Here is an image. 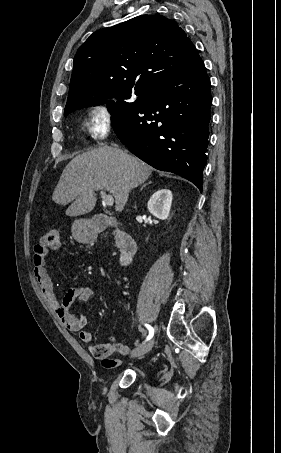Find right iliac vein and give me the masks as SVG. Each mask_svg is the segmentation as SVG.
<instances>
[{
	"instance_id": "obj_1",
	"label": "right iliac vein",
	"mask_w": 281,
	"mask_h": 453,
	"mask_svg": "<svg viewBox=\"0 0 281 453\" xmlns=\"http://www.w3.org/2000/svg\"><path fill=\"white\" fill-rule=\"evenodd\" d=\"M154 345L155 344H154L153 340L152 341H146L141 348H135L134 352L131 351V354H129V355L131 357L134 355L136 358H138V357H140V355H145V352H149L150 350H152Z\"/></svg>"
}]
</instances>
